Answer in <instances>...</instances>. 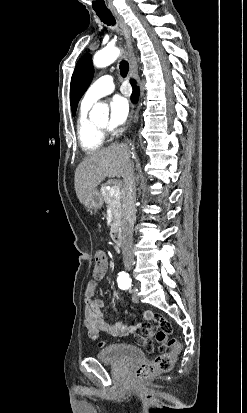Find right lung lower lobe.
Returning <instances> with one entry per match:
<instances>
[{"label": "right lung lower lobe", "instance_id": "obj_1", "mask_svg": "<svg viewBox=\"0 0 247 413\" xmlns=\"http://www.w3.org/2000/svg\"><path fill=\"white\" fill-rule=\"evenodd\" d=\"M131 84L133 86V93H132V97L131 100L133 103H135L138 99V95H139V89L136 87L135 83L133 80H131Z\"/></svg>", "mask_w": 247, "mask_h": 413}]
</instances>
